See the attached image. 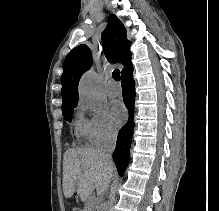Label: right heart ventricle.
Masks as SVG:
<instances>
[{"instance_id": "obj_1", "label": "right heart ventricle", "mask_w": 219, "mask_h": 211, "mask_svg": "<svg viewBox=\"0 0 219 211\" xmlns=\"http://www.w3.org/2000/svg\"><path fill=\"white\" fill-rule=\"evenodd\" d=\"M76 130H77V132H78L79 134H83V133H82V128H81V120H78V121L76 122Z\"/></svg>"}]
</instances>
